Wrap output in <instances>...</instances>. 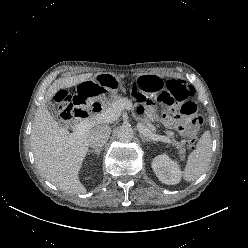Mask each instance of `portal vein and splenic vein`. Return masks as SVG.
Returning a JSON list of instances; mask_svg holds the SVG:
<instances>
[{
  "instance_id": "portal-vein-and-splenic-vein-1",
  "label": "portal vein and splenic vein",
  "mask_w": 248,
  "mask_h": 248,
  "mask_svg": "<svg viewBox=\"0 0 248 248\" xmlns=\"http://www.w3.org/2000/svg\"><path fill=\"white\" fill-rule=\"evenodd\" d=\"M131 107L132 106L126 102L114 103L112 106L107 108L102 113L97 114L93 118L85 119L78 124H73V125L71 124L70 128L73 130L72 134L74 136L80 135V134L84 133L85 131H87L88 129H90L95 124H99L102 122L103 123L112 122V121L116 120L117 118H119V116L121 115V112L124 109L131 110ZM137 127H138L140 133L143 134L144 136H146V137H148L154 141H162V142L169 143V140L165 136L154 134L148 128H146L144 125L138 123Z\"/></svg>"
}]
</instances>
